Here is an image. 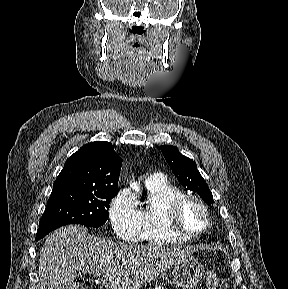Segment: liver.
I'll list each match as a JSON object with an SVG mask.
<instances>
[{"label": "liver", "instance_id": "6515ba94", "mask_svg": "<svg viewBox=\"0 0 288 289\" xmlns=\"http://www.w3.org/2000/svg\"><path fill=\"white\" fill-rule=\"evenodd\" d=\"M190 257V252L177 247L86 237L82 226L68 225L47 236L38 273L41 289H75L77 269L101 276L107 289H139Z\"/></svg>", "mask_w": 288, "mask_h": 289}]
</instances>
